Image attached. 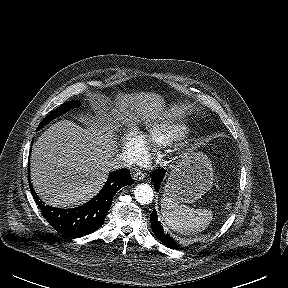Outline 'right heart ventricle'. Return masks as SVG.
<instances>
[{
  "mask_svg": "<svg viewBox=\"0 0 288 288\" xmlns=\"http://www.w3.org/2000/svg\"><path fill=\"white\" fill-rule=\"evenodd\" d=\"M187 132V125L180 121L162 120L152 124L141 139L145 146L168 145Z\"/></svg>",
  "mask_w": 288,
  "mask_h": 288,
  "instance_id": "obj_1",
  "label": "right heart ventricle"
}]
</instances>
